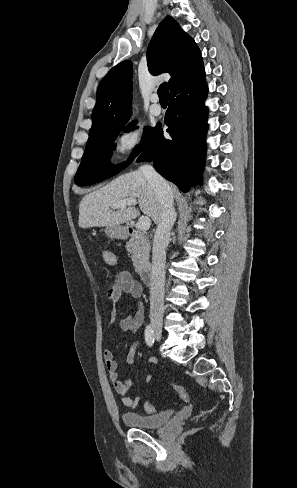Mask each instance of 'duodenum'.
Here are the masks:
<instances>
[{
    "instance_id": "1",
    "label": "duodenum",
    "mask_w": 297,
    "mask_h": 488,
    "mask_svg": "<svg viewBox=\"0 0 297 488\" xmlns=\"http://www.w3.org/2000/svg\"><path fill=\"white\" fill-rule=\"evenodd\" d=\"M140 277L142 279V281L146 284V285H151L153 284L154 280H155V271H154V267L151 263H147L145 264L141 269H140Z\"/></svg>"
}]
</instances>
